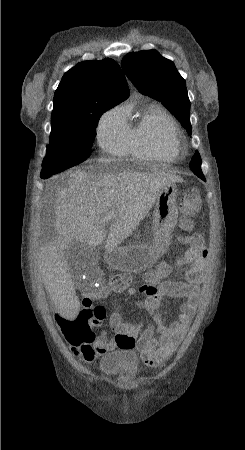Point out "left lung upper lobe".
I'll return each instance as SVG.
<instances>
[{
  "label": "left lung upper lobe",
  "instance_id": "left-lung-upper-lobe-1",
  "mask_svg": "<svg viewBox=\"0 0 245 450\" xmlns=\"http://www.w3.org/2000/svg\"><path fill=\"white\" fill-rule=\"evenodd\" d=\"M121 65L142 94L162 101L189 134L192 133L186 82L171 60L162 57L156 50H143L125 55ZM190 168L198 177H204L198 152L194 154Z\"/></svg>",
  "mask_w": 245,
  "mask_h": 450
}]
</instances>
